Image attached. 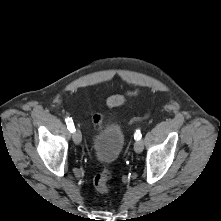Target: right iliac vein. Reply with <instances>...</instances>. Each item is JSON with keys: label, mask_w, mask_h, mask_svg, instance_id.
I'll list each match as a JSON object with an SVG mask.
<instances>
[{"label": "right iliac vein", "mask_w": 221, "mask_h": 221, "mask_svg": "<svg viewBox=\"0 0 221 221\" xmlns=\"http://www.w3.org/2000/svg\"><path fill=\"white\" fill-rule=\"evenodd\" d=\"M72 138L75 144H80L82 141L81 132L77 129L76 131H74Z\"/></svg>", "instance_id": "63e3f726"}]
</instances>
